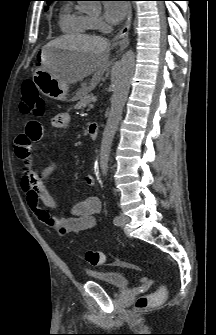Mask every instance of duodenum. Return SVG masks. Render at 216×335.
<instances>
[{"label":"duodenum","instance_id":"duodenum-1","mask_svg":"<svg viewBox=\"0 0 216 335\" xmlns=\"http://www.w3.org/2000/svg\"><path fill=\"white\" fill-rule=\"evenodd\" d=\"M88 133H89V136L95 140L98 136V125L96 123H91L89 126H88Z\"/></svg>","mask_w":216,"mask_h":335}]
</instances>
